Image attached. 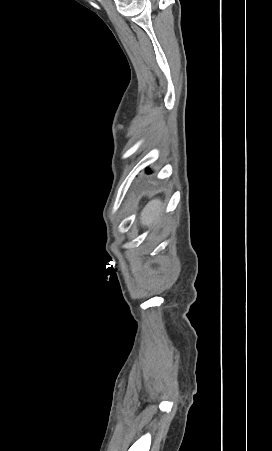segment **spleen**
I'll use <instances>...</instances> for the list:
<instances>
[{"label": "spleen", "mask_w": 272, "mask_h": 451, "mask_svg": "<svg viewBox=\"0 0 272 451\" xmlns=\"http://www.w3.org/2000/svg\"><path fill=\"white\" fill-rule=\"evenodd\" d=\"M162 210L163 202L161 200H151L141 214L142 226H152V224L158 222Z\"/></svg>", "instance_id": "spleen-1"}]
</instances>
